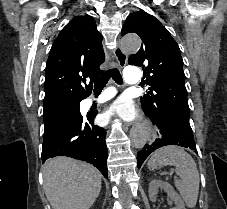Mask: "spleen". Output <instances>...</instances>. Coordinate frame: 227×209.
<instances>
[{
  "label": "spleen",
  "mask_w": 227,
  "mask_h": 209,
  "mask_svg": "<svg viewBox=\"0 0 227 209\" xmlns=\"http://www.w3.org/2000/svg\"><path fill=\"white\" fill-rule=\"evenodd\" d=\"M165 165L175 167V173L179 177L175 181V187L188 209H195L199 195L200 177L194 159L184 151L183 147L168 145L153 153L148 161V169L154 171Z\"/></svg>",
  "instance_id": "3e777b00"
}]
</instances>
